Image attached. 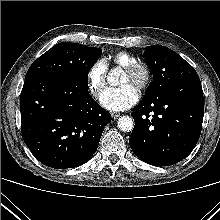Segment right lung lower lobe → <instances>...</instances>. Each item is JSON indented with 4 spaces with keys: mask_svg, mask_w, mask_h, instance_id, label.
<instances>
[{
    "mask_svg": "<svg viewBox=\"0 0 220 220\" xmlns=\"http://www.w3.org/2000/svg\"><path fill=\"white\" fill-rule=\"evenodd\" d=\"M20 109L25 144L41 163L55 169L86 163L111 121L110 113L89 95L83 78L25 79Z\"/></svg>",
    "mask_w": 220,
    "mask_h": 220,
    "instance_id": "right-lung-lower-lobe-1",
    "label": "right lung lower lobe"
}]
</instances>
